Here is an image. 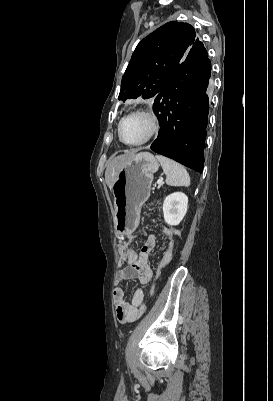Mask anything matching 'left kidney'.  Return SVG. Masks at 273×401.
<instances>
[{
  "instance_id": "left-kidney-1",
  "label": "left kidney",
  "mask_w": 273,
  "mask_h": 401,
  "mask_svg": "<svg viewBox=\"0 0 273 401\" xmlns=\"http://www.w3.org/2000/svg\"><path fill=\"white\" fill-rule=\"evenodd\" d=\"M188 196L184 192H172L163 203L164 221L167 225H179L187 213Z\"/></svg>"
}]
</instances>
